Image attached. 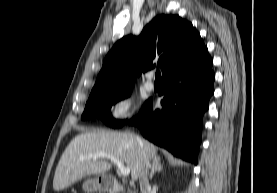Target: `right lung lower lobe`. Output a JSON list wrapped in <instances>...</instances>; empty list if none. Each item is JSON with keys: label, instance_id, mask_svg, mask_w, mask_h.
Here are the masks:
<instances>
[{"label": "right lung lower lobe", "instance_id": "right-lung-lower-lobe-1", "mask_svg": "<svg viewBox=\"0 0 277 193\" xmlns=\"http://www.w3.org/2000/svg\"><path fill=\"white\" fill-rule=\"evenodd\" d=\"M212 64L206 47L168 72L163 77L165 86L160 93L165 94L162 109L153 110L151 98L129 124L138 126L142 135L153 143L196 164L203 114L214 93Z\"/></svg>", "mask_w": 277, "mask_h": 193}]
</instances>
